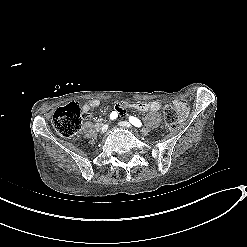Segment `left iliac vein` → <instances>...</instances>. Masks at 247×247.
<instances>
[{"mask_svg": "<svg viewBox=\"0 0 247 247\" xmlns=\"http://www.w3.org/2000/svg\"><path fill=\"white\" fill-rule=\"evenodd\" d=\"M119 125L122 126V127H126V128H131V124L127 121H121L119 122Z\"/></svg>", "mask_w": 247, "mask_h": 247, "instance_id": "1", "label": "left iliac vein"}]
</instances>
